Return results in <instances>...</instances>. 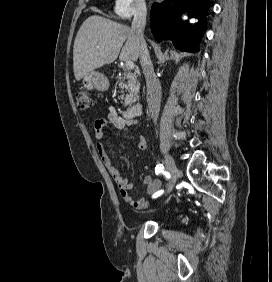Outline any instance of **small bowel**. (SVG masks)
<instances>
[{"label":"small bowel","mask_w":272,"mask_h":282,"mask_svg":"<svg viewBox=\"0 0 272 282\" xmlns=\"http://www.w3.org/2000/svg\"><path fill=\"white\" fill-rule=\"evenodd\" d=\"M107 127H111L115 132H124L130 137L137 135L138 149L145 150L148 146V140L144 133L137 131L138 123L133 120H128L117 113V111L110 107L106 117L99 118L95 122V138L98 140L96 145L97 151L110 175L116 182L119 193L123 200L136 210H141L148 205L144 198L134 200L130 194L133 189L128 178L120 172V170L112 163L105 153V147L100 142L104 137V131ZM121 163L128 168L129 162L126 156L120 157ZM143 184L147 188L149 194L156 193L162 186L160 179H155L151 175H146L143 178Z\"/></svg>","instance_id":"1"}]
</instances>
